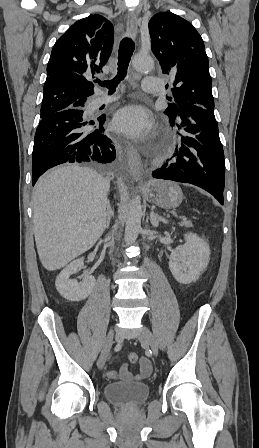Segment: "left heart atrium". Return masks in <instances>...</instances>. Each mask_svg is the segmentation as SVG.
I'll return each mask as SVG.
<instances>
[{
    "mask_svg": "<svg viewBox=\"0 0 259 448\" xmlns=\"http://www.w3.org/2000/svg\"><path fill=\"white\" fill-rule=\"evenodd\" d=\"M113 127L116 131L142 139L149 133L152 127V119L145 107L139 104H132L116 113Z\"/></svg>",
    "mask_w": 259,
    "mask_h": 448,
    "instance_id": "1",
    "label": "left heart atrium"
}]
</instances>
